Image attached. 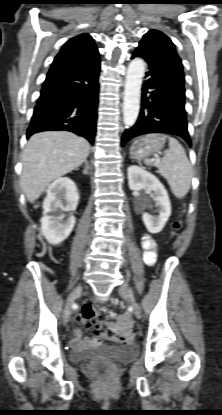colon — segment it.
Instances as JSON below:
<instances>
[{"mask_svg": "<svg viewBox=\"0 0 222 415\" xmlns=\"http://www.w3.org/2000/svg\"><path fill=\"white\" fill-rule=\"evenodd\" d=\"M181 228V222L175 220L172 223L173 233L175 234ZM80 320L84 327L91 330L94 334H102L112 342H127L137 340L141 337L140 330L134 328L127 330L122 323H112L104 319L102 314L92 307H84L80 313ZM98 373L106 371L105 365L98 366Z\"/></svg>", "mask_w": 222, "mask_h": 415, "instance_id": "5ec220e1", "label": "colon"}]
</instances>
